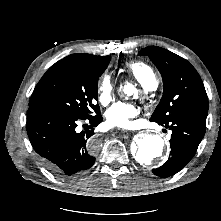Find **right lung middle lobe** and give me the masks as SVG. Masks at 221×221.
I'll return each mask as SVG.
<instances>
[{
  "label": "right lung middle lobe",
  "mask_w": 221,
  "mask_h": 221,
  "mask_svg": "<svg viewBox=\"0 0 221 221\" xmlns=\"http://www.w3.org/2000/svg\"><path fill=\"white\" fill-rule=\"evenodd\" d=\"M109 61L110 57L97 65H81L67 60L56 62L36 85L29 107L59 110L81 119L99 115L98 78Z\"/></svg>",
  "instance_id": "dd1d6c3e"
}]
</instances>
